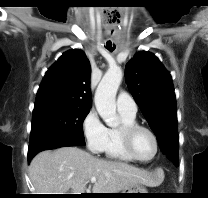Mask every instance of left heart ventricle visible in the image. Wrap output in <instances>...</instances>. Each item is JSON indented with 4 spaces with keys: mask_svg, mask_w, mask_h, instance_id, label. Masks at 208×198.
<instances>
[{
    "mask_svg": "<svg viewBox=\"0 0 208 198\" xmlns=\"http://www.w3.org/2000/svg\"><path fill=\"white\" fill-rule=\"evenodd\" d=\"M133 148L142 159H149L155 151V143L152 136L145 130H138L133 137Z\"/></svg>",
    "mask_w": 208,
    "mask_h": 198,
    "instance_id": "1",
    "label": "left heart ventricle"
}]
</instances>
